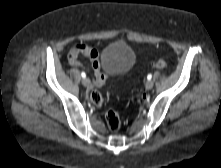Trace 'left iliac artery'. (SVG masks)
Masks as SVG:
<instances>
[{
	"instance_id": "1",
	"label": "left iliac artery",
	"mask_w": 221,
	"mask_h": 168,
	"mask_svg": "<svg viewBox=\"0 0 221 168\" xmlns=\"http://www.w3.org/2000/svg\"><path fill=\"white\" fill-rule=\"evenodd\" d=\"M151 78H152V75H151V74H148L147 79H148V80H151Z\"/></svg>"
}]
</instances>
